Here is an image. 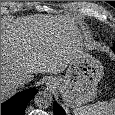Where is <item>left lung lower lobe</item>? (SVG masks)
Instances as JSON below:
<instances>
[{"label":"left lung lower lobe","mask_w":115,"mask_h":115,"mask_svg":"<svg viewBox=\"0 0 115 115\" xmlns=\"http://www.w3.org/2000/svg\"><path fill=\"white\" fill-rule=\"evenodd\" d=\"M54 115H65L64 110L56 102L53 104Z\"/></svg>","instance_id":"obj_1"}]
</instances>
